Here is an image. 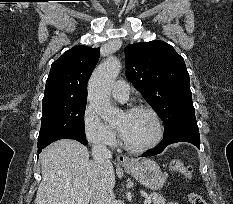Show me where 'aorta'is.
Listing matches in <instances>:
<instances>
[{
    "label": "aorta",
    "instance_id": "1",
    "mask_svg": "<svg viewBox=\"0 0 233 204\" xmlns=\"http://www.w3.org/2000/svg\"><path fill=\"white\" fill-rule=\"evenodd\" d=\"M121 63L116 57H108L93 72L88 84V99L91 106L106 122L115 121L119 115V108L110 101L111 86L118 77Z\"/></svg>",
    "mask_w": 233,
    "mask_h": 204
}]
</instances>
